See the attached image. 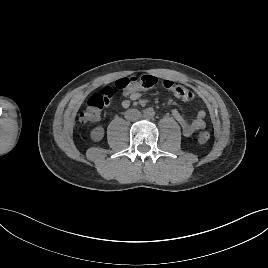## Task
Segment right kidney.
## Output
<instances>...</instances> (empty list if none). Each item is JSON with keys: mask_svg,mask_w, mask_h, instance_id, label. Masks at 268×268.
Here are the masks:
<instances>
[{"mask_svg": "<svg viewBox=\"0 0 268 268\" xmlns=\"http://www.w3.org/2000/svg\"><path fill=\"white\" fill-rule=\"evenodd\" d=\"M91 139L95 142L100 141L104 136V130L102 127H96L91 131Z\"/></svg>", "mask_w": 268, "mask_h": 268, "instance_id": "1", "label": "right kidney"}]
</instances>
